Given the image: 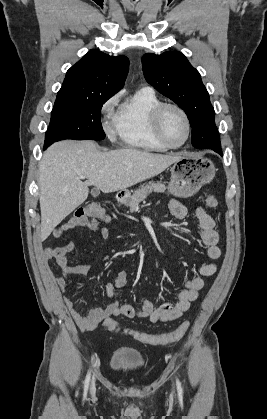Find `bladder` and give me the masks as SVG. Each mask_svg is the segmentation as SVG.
<instances>
[{
  "label": "bladder",
  "mask_w": 267,
  "mask_h": 419,
  "mask_svg": "<svg viewBox=\"0 0 267 419\" xmlns=\"http://www.w3.org/2000/svg\"><path fill=\"white\" fill-rule=\"evenodd\" d=\"M146 360L142 353L127 346L117 347L111 354L109 368L120 374H127L142 370Z\"/></svg>",
  "instance_id": "31cf9c89"
}]
</instances>
